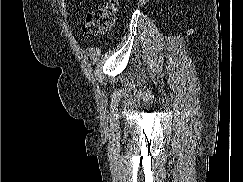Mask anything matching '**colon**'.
Returning a JSON list of instances; mask_svg holds the SVG:
<instances>
[{
    "instance_id": "colon-1",
    "label": "colon",
    "mask_w": 243,
    "mask_h": 182,
    "mask_svg": "<svg viewBox=\"0 0 243 182\" xmlns=\"http://www.w3.org/2000/svg\"><path fill=\"white\" fill-rule=\"evenodd\" d=\"M119 0H107L102 6L86 14L83 31L94 36L110 29L115 21Z\"/></svg>"
}]
</instances>
